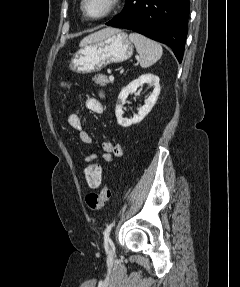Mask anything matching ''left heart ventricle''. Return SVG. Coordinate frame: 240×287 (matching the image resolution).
Returning <instances> with one entry per match:
<instances>
[{"label":"left heart ventricle","mask_w":240,"mask_h":287,"mask_svg":"<svg viewBox=\"0 0 240 287\" xmlns=\"http://www.w3.org/2000/svg\"><path fill=\"white\" fill-rule=\"evenodd\" d=\"M110 0H86V11L90 16L102 14L109 5Z\"/></svg>","instance_id":"obj_1"}]
</instances>
